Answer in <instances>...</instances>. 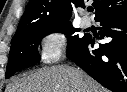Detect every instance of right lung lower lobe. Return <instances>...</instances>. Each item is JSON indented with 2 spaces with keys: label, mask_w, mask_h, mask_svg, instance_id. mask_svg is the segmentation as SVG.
<instances>
[{
  "label": "right lung lower lobe",
  "mask_w": 127,
  "mask_h": 92,
  "mask_svg": "<svg viewBox=\"0 0 127 92\" xmlns=\"http://www.w3.org/2000/svg\"><path fill=\"white\" fill-rule=\"evenodd\" d=\"M96 21L102 24L100 39L111 40L94 49L95 39L87 35L67 57L104 87L127 92V8L104 14Z\"/></svg>",
  "instance_id": "98d812e1"
}]
</instances>
